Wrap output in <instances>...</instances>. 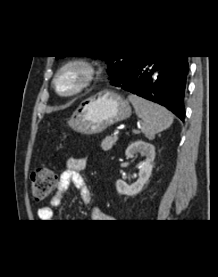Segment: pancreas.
I'll return each instance as SVG.
<instances>
[{
    "label": "pancreas",
    "instance_id": "obj_1",
    "mask_svg": "<svg viewBox=\"0 0 218 277\" xmlns=\"http://www.w3.org/2000/svg\"><path fill=\"white\" fill-rule=\"evenodd\" d=\"M118 136H107L101 143V148L104 151H109L117 142Z\"/></svg>",
    "mask_w": 218,
    "mask_h": 277
}]
</instances>
